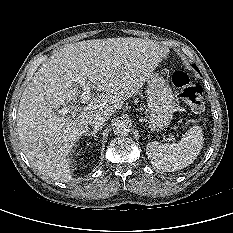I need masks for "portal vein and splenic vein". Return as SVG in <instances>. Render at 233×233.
<instances>
[{
    "mask_svg": "<svg viewBox=\"0 0 233 233\" xmlns=\"http://www.w3.org/2000/svg\"><path fill=\"white\" fill-rule=\"evenodd\" d=\"M75 81L82 87L83 92L80 96V102L85 104L90 100V96H91V85L86 83V80L84 77L82 76H78L75 78ZM71 106H68L66 108H62L61 110H59V113L62 115H66L68 113L71 112ZM173 139V138H172Z\"/></svg>",
    "mask_w": 233,
    "mask_h": 233,
    "instance_id": "1",
    "label": "portal vein and splenic vein"
}]
</instances>
